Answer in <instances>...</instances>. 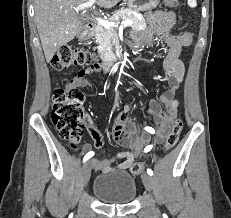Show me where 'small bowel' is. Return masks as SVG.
Instances as JSON below:
<instances>
[{
	"label": "small bowel",
	"instance_id": "small-bowel-1",
	"mask_svg": "<svg viewBox=\"0 0 231 218\" xmlns=\"http://www.w3.org/2000/svg\"><path fill=\"white\" fill-rule=\"evenodd\" d=\"M145 18L148 28L136 36L137 43L147 46L152 44L156 37H159L167 47L163 69L168 78L169 88L161 93L159 101L150 99L148 105V112L157 128L155 142L160 144L163 142L179 107L178 92L185 73L184 63L180 56L182 51L191 44L192 36L189 32H182L178 35L171 34V29L175 24V14L171 11L147 12ZM100 66L99 63H92L85 66L84 69H77V75L73 78L71 84L76 87H90L91 83L87 76ZM131 112L132 108L125 106L121 114V120L113 129L114 140L119 145L127 147L128 150L119 151L109 158L92 159L90 164L93 168L103 173L124 174L126 169L141 154L148 138L145 135H136L133 127L123 121L126 115ZM87 128L94 147L103 151L104 141L101 132L90 121ZM72 147L75 148V145H72ZM91 148L92 146L89 143L82 146L83 151H89Z\"/></svg>",
	"mask_w": 231,
	"mask_h": 218
}]
</instances>
